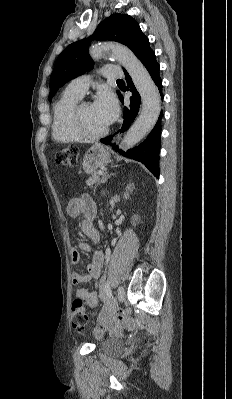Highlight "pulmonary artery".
<instances>
[{"label":"pulmonary artery","instance_id":"pulmonary-artery-1","mask_svg":"<svg viewBox=\"0 0 232 399\" xmlns=\"http://www.w3.org/2000/svg\"><path fill=\"white\" fill-rule=\"evenodd\" d=\"M105 75L109 80H121L123 78L122 71L117 69L116 63H109L108 69L105 70ZM79 79L83 81H71L68 83V89H65V96H89V89L85 84L90 83V78L87 73H80Z\"/></svg>","mask_w":232,"mask_h":399}]
</instances>
